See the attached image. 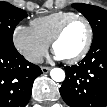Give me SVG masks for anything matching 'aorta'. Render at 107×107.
<instances>
[{"label":"aorta","instance_id":"aorta-1","mask_svg":"<svg viewBox=\"0 0 107 107\" xmlns=\"http://www.w3.org/2000/svg\"><path fill=\"white\" fill-rule=\"evenodd\" d=\"M51 78L56 82H62L65 79V72L61 68H53L50 71Z\"/></svg>","mask_w":107,"mask_h":107}]
</instances>
